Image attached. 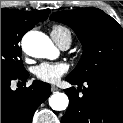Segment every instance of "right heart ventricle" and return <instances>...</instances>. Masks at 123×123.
Returning <instances> with one entry per match:
<instances>
[{"mask_svg":"<svg viewBox=\"0 0 123 123\" xmlns=\"http://www.w3.org/2000/svg\"><path fill=\"white\" fill-rule=\"evenodd\" d=\"M52 33H54V34H56L58 36L67 35V36H69L71 38L70 31L66 27L61 26V25H55V26H53Z\"/></svg>","mask_w":123,"mask_h":123,"instance_id":"obj_1","label":"right heart ventricle"}]
</instances>
